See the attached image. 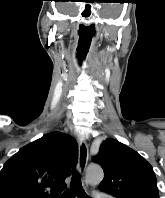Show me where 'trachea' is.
<instances>
[{
	"label": "trachea",
	"instance_id": "1",
	"mask_svg": "<svg viewBox=\"0 0 165 198\" xmlns=\"http://www.w3.org/2000/svg\"><path fill=\"white\" fill-rule=\"evenodd\" d=\"M76 195L78 196V198H89V196L85 193L81 185L79 175L76 172H74L70 189H66L64 193L57 198H75Z\"/></svg>",
	"mask_w": 165,
	"mask_h": 198
}]
</instances>
